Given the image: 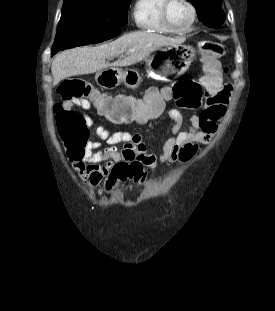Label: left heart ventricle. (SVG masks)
Returning <instances> with one entry per match:
<instances>
[{
    "label": "left heart ventricle",
    "mask_w": 275,
    "mask_h": 311,
    "mask_svg": "<svg viewBox=\"0 0 275 311\" xmlns=\"http://www.w3.org/2000/svg\"><path fill=\"white\" fill-rule=\"evenodd\" d=\"M191 16V10L184 0H174L170 5L169 18L175 27H186L191 21Z\"/></svg>",
    "instance_id": "obj_1"
}]
</instances>
